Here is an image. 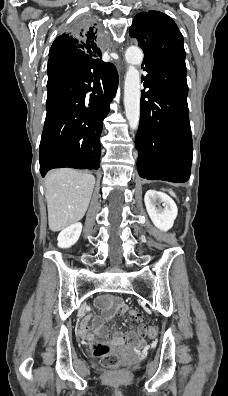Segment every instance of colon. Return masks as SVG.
Returning <instances> with one entry per match:
<instances>
[{
  "mask_svg": "<svg viewBox=\"0 0 228 396\" xmlns=\"http://www.w3.org/2000/svg\"><path fill=\"white\" fill-rule=\"evenodd\" d=\"M157 335V328L150 326L146 329V336L155 338ZM93 353L99 358L100 363L110 369H117L120 366L119 356L111 350V348L102 342H95L92 345Z\"/></svg>",
  "mask_w": 228,
  "mask_h": 396,
  "instance_id": "obj_1",
  "label": "colon"
}]
</instances>
